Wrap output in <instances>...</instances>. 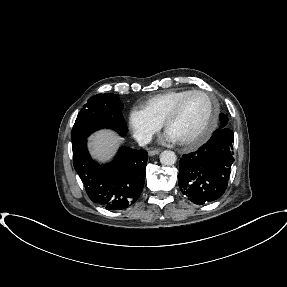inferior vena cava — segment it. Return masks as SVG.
<instances>
[{
	"mask_svg": "<svg viewBox=\"0 0 287 287\" xmlns=\"http://www.w3.org/2000/svg\"><path fill=\"white\" fill-rule=\"evenodd\" d=\"M151 136L149 135H142L137 138V142L140 146H145L151 141Z\"/></svg>",
	"mask_w": 287,
	"mask_h": 287,
	"instance_id": "1",
	"label": "inferior vena cava"
}]
</instances>
